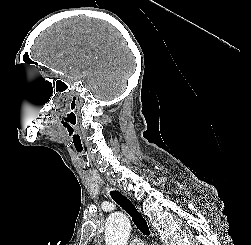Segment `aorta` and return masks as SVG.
I'll return each instance as SVG.
<instances>
[{
	"label": "aorta",
	"instance_id": "aorta-1",
	"mask_svg": "<svg viewBox=\"0 0 251 245\" xmlns=\"http://www.w3.org/2000/svg\"><path fill=\"white\" fill-rule=\"evenodd\" d=\"M131 224L127 216L122 213L111 214L106 222V245H127Z\"/></svg>",
	"mask_w": 251,
	"mask_h": 245
}]
</instances>
